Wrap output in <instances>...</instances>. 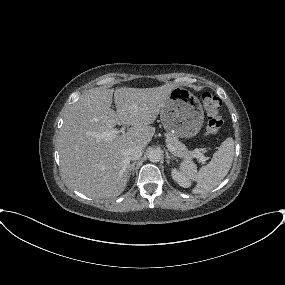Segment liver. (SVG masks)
<instances>
[{"instance_id":"obj_1","label":"liver","mask_w":285,"mask_h":285,"mask_svg":"<svg viewBox=\"0 0 285 285\" xmlns=\"http://www.w3.org/2000/svg\"><path fill=\"white\" fill-rule=\"evenodd\" d=\"M175 84L153 88H95L83 93L64 117L58 150L61 172L84 195L95 198L119 196L128 182L127 151L149 144L151 126ZM114 96L116 111L111 109ZM116 125L131 126L113 140L99 135Z\"/></svg>"}]
</instances>
